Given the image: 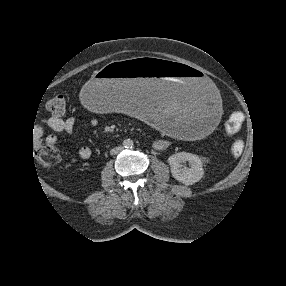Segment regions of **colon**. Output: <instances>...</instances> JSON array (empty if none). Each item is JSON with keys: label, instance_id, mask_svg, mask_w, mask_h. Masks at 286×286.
Masks as SVG:
<instances>
[{"label": "colon", "instance_id": "obj_1", "mask_svg": "<svg viewBox=\"0 0 286 286\" xmlns=\"http://www.w3.org/2000/svg\"><path fill=\"white\" fill-rule=\"evenodd\" d=\"M67 107V98L64 94H59L51 98L47 104L46 108L49 112L54 115H62L65 113ZM245 116L241 111L233 112L225 126V135L227 137H232L236 135L244 122ZM243 150V143L241 141H236L231 147V152L234 155H239ZM34 151L38 161L45 166H49L57 161L59 153L57 148L52 142L46 139H38L34 144Z\"/></svg>", "mask_w": 286, "mask_h": 286}]
</instances>
